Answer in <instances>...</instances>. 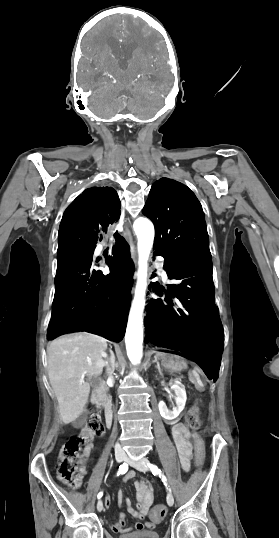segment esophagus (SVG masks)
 Returning <instances> with one entry per match:
<instances>
[{
    "mask_svg": "<svg viewBox=\"0 0 279 538\" xmlns=\"http://www.w3.org/2000/svg\"><path fill=\"white\" fill-rule=\"evenodd\" d=\"M123 237L125 238V240L130 245L131 257H132L133 261L136 263V250H135V246H134V243H133V238H132L131 232L127 227L125 228V231L123 233Z\"/></svg>",
    "mask_w": 279,
    "mask_h": 538,
    "instance_id": "34e87169",
    "label": "esophagus"
}]
</instances>
